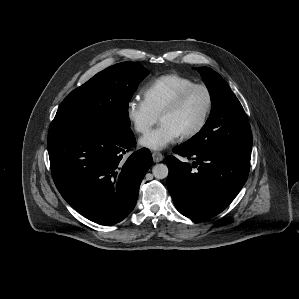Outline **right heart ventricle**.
<instances>
[{
	"instance_id": "right-heart-ventricle-1",
	"label": "right heart ventricle",
	"mask_w": 299,
	"mask_h": 299,
	"mask_svg": "<svg viewBox=\"0 0 299 299\" xmlns=\"http://www.w3.org/2000/svg\"><path fill=\"white\" fill-rule=\"evenodd\" d=\"M191 78L179 74L162 75L142 90L144 103L158 117L164 107L185 87L193 84Z\"/></svg>"
}]
</instances>
